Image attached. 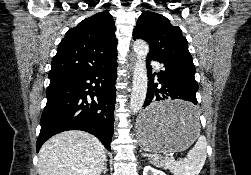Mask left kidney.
<instances>
[{"label": "left kidney", "mask_w": 251, "mask_h": 175, "mask_svg": "<svg viewBox=\"0 0 251 175\" xmlns=\"http://www.w3.org/2000/svg\"><path fill=\"white\" fill-rule=\"evenodd\" d=\"M143 175H166V173H164V171H160V169H154L151 165H145Z\"/></svg>", "instance_id": "1"}]
</instances>
